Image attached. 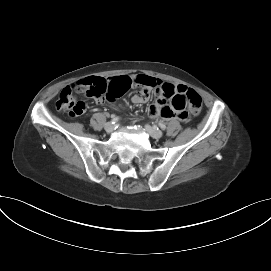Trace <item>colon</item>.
<instances>
[{"label": "colon", "instance_id": "5ec220e1", "mask_svg": "<svg viewBox=\"0 0 271 271\" xmlns=\"http://www.w3.org/2000/svg\"><path fill=\"white\" fill-rule=\"evenodd\" d=\"M90 85V84H89ZM88 85V88H89ZM82 84L65 87L56 102V108L60 111L67 112L71 116H78L84 113L86 107L84 102L77 99L75 93H80ZM177 108L189 106L194 113H197L202 106L201 96L194 90H187L184 93L176 94L172 99Z\"/></svg>", "mask_w": 271, "mask_h": 271}]
</instances>
